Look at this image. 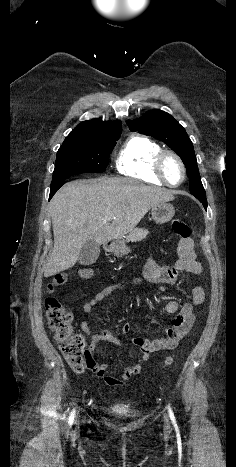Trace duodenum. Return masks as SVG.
Instances as JSON below:
<instances>
[{"instance_id": "1", "label": "duodenum", "mask_w": 236, "mask_h": 467, "mask_svg": "<svg viewBox=\"0 0 236 467\" xmlns=\"http://www.w3.org/2000/svg\"><path fill=\"white\" fill-rule=\"evenodd\" d=\"M115 246V240L113 239H107L104 242V247L107 251H111Z\"/></svg>"}]
</instances>
